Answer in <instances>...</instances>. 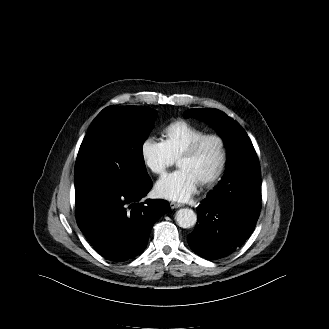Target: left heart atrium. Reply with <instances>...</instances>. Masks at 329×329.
I'll return each mask as SVG.
<instances>
[{"instance_id": "left-heart-atrium-1", "label": "left heart atrium", "mask_w": 329, "mask_h": 329, "mask_svg": "<svg viewBox=\"0 0 329 329\" xmlns=\"http://www.w3.org/2000/svg\"><path fill=\"white\" fill-rule=\"evenodd\" d=\"M199 181L187 169L179 168L161 178L155 185V191L161 198L184 202L197 190Z\"/></svg>"}]
</instances>
